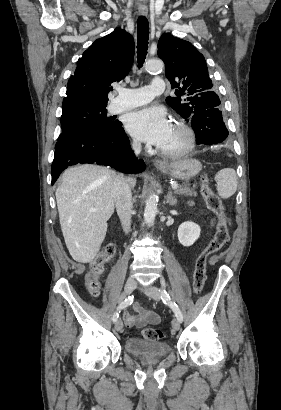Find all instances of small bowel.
<instances>
[{"label":"small bowel","mask_w":281,"mask_h":410,"mask_svg":"<svg viewBox=\"0 0 281 410\" xmlns=\"http://www.w3.org/2000/svg\"><path fill=\"white\" fill-rule=\"evenodd\" d=\"M214 220L211 221L213 225ZM133 312L124 313V321L128 327L141 328L145 325L158 324L160 322V316L143 306L135 305Z\"/></svg>","instance_id":"small-bowel-1"}]
</instances>
